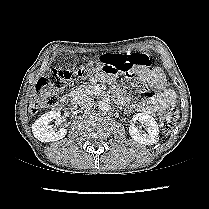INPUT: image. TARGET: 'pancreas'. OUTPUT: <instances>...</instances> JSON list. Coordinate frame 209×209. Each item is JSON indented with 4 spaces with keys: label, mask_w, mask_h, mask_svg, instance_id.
<instances>
[{
    "label": "pancreas",
    "mask_w": 209,
    "mask_h": 209,
    "mask_svg": "<svg viewBox=\"0 0 209 209\" xmlns=\"http://www.w3.org/2000/svg\"><path fill=\"white\" fill-rule=\"evenodd\" d=\"M73 93L76 95L78 99H81L82 97L88 95L90 96L99 95L101 91L97 90L93 85H84L74 89Z\"/></svg>",
    "instance_id": "cf45deb5"
}]
</instances>
